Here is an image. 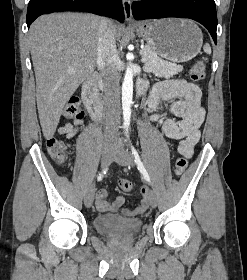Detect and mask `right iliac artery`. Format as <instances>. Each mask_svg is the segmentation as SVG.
Masks as SVG:
<instances>
[{
    "label": "right iliac artery",
    "mask_w": 247,
    "mask_h": 280,
    "mask_svg": "<svg viewBox=\"0 0 247 280\" xmlns=\"http://www.w3.org/2000/svg\"><path fill=\"white\" fill-rule=\"evenodd\" d=\"M106 172H107V168L104 169L101 174H99L98 179H101L103 175L106 174Z\"/></svg>",
    "instance_id": "1"
}]
</instances>
